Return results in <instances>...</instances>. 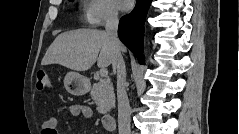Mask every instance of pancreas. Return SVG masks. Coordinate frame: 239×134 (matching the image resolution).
I'll return each mask as SVG.
<instances>
[{
  "label": "pancreas",
  "instance_id": "obj_1",
  "mask_svg": "<svg viewBox=\"0 0 239 134\" xmlns=\"http://www.w3.org/2000/svg\"><path fill=\"white\" fill-rule=\"evenodd\" d=\"M90 94L100 114H105L115 104L114 88L109 81L95 83Z\"/></svg>",
  "mask_w": 239,
  "mask_h": 134
}]
</instances>
